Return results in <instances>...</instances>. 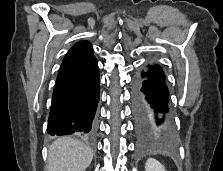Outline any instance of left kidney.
<instances>
[{"label": "left kidney", "mask_w": 223, "mask_h": 171, "mask_svg": "<svg viewBox=\"0 0 223 171\" xmlns=\"http://www.w3.org/2000/svg\"><path fill=\"white\" fill-rule=\"evenodd\" d=\"M145 170L146 171H166L165 167L154 158H149L146 161Z\"/></svg>", "instance_id": "1"}]
</instances>
